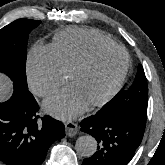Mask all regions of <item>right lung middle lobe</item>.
I'll return each mask as SVG.
<instances>
[{
    "instance_id": "dd1d6c3e",
    "label": "right lung middle lobe",
    "mask_w": 165,
    "mask_h": 165,
    "mask_svg": "<svg viewBox=\"0 0 165 165\" xmlns=\"http://www.w3.org/2000/svg\"><path fill=\"white\" fill-rule=\"evenodd\" d=\"M41 22L18 19L0 30V72L27 87L26 58L29 33Z\"/></svg>"
}]
</instances>
